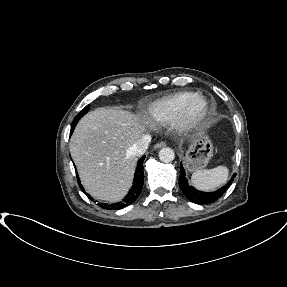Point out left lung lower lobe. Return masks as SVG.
<instances>
[{
  "mask_svg": "<svg viewBox=\"0 0 287 287\" xmlns=\"http://www.w3.org/2000/svg\"><path fill=\"white\" fill-rule=\"evenodd\" d=\"M180 173L181 174L179 176V186H180L181 191L190 201L196 204H210L212 202H215L225 193V191L228 189V187L232 183L234 177L236 176V174H234L232 178L230 179V181L225 186L218 189L217 191L202 192V191H198L194 189V187L188 184V180L185 177V171L183 169L182 163L180 167Z\"/></svg>",
  "mask_w": 287,
  "mask_h": 287,
  "instance_id": "1",
  "label": "left lung lower lobe"
}]
</instances>
